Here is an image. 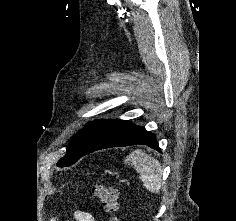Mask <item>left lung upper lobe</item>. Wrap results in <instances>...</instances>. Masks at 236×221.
<instances>
[{
    "mask_svg": "<svg viewBox=\"0 0 236 221\" xmlns=\"http://www.w3.org/2000/svg\"><path fill=\"white\" fill-rule=\"evenodd\" d=\"M103 122L104 120H95L87 123L81 134L67 147L66 155L58 161L57 165L65 167L75 163L81 150L90 142Z\"/></svg>",
    "mask_w": 236,
    "mask_h": 221,
    "instance_id": "left-lung-upper-lobe-1",
    "label": "left lung upper lobe"
}]
</instances>
